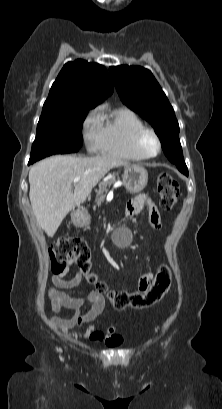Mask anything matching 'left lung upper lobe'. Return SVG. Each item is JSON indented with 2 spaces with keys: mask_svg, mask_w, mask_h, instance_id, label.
Returning a JSON list of instances; mask_svg holds the SVG:
<instances>
[{
  "mask_svg": "<svg viewBox=\"0 0 222 409\" xmlns=\"http://www.w3.org/2000/svg\"><path fill=\"white\" fill-rule=\"evenodd\" d=\"M109 72L122 101L153 126L167 158L187 175L178 121L153 74L143 67L127 65L112 66Z\"/></svg>",
  "mask_w": 222,
  "mask_h": 409,
  "instance_id": "1",
  "label": "left lung upper lobe"
}]
</instances>
